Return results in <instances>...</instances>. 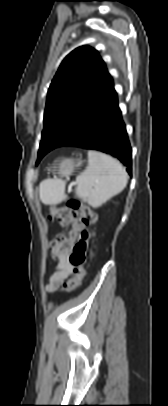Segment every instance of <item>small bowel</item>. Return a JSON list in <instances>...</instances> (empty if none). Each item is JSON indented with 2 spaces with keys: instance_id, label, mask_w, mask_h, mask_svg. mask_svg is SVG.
<instances>
[{
  "instance_id": "1",
  "label": "small bowel",
  "mask_w": 168,
  "mask_h": 406,
  "mask_svg": "<svg viewBox=\"0 0 168 406\" xmlns=\"http://www.w3.org/2000/svg\"><path fill=\"white\" fill-rule=\"evenodd\" d=\"M74 275V267L69 262V253L65 252L60 254L59 262L52 274L47 288L50 291L58 289L61 284Z\"/></svg>"
}]
</instances>
